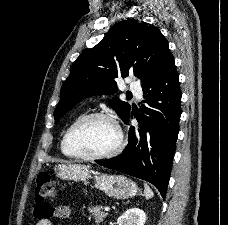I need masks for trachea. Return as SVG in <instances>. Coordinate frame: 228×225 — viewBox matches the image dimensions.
Returning <instances> with one entry per match:
<instances>
[{"label": "trachea", "instance_id": "obj_1", "mask_svg": "<svg viewBox=\"0 0 228 225\" xmlns=\"http://www.w3.org/2000/svg\"><path fill=\"white\" fill-rule=\"evenodd\" d=\"M132 97V94H127V98H131Z\"/></svg>", "mask_w": 228, "mask_h": 225}]
</instances>
